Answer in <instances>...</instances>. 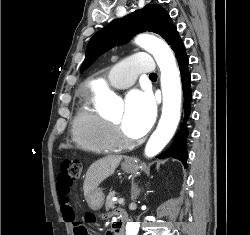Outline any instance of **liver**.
Returning <instances> with one entry per match:
<instances>
[{
	"label": "liver",
	"instance_id": "obj_1",
	"mask_svg": "<svg viewBox=\"0 0 250 235\" xmlns=\"http://www.w3.org/2000/svg\"><path fill=\"white\" fill-rule=\"evenodd\" d=\"M122 156H107L94 162L87 170L83 184L85 198L96 189L105 179L114 174L122 160Z\"/></svg>",
	"mask_w": 250,
	"mask_h": 235
}]
</instances>
